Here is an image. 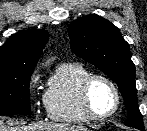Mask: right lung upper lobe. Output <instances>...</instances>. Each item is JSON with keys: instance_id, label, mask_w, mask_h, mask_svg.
I'll list each match as a JSON object with an SVG mask.
<instances>
[{"instance_id": "obj_1", "label": "right lung upper lobe", "mask_w": 147, "mask_h": 131, "mask_svg": "<svg viewBox=\"0 0 147 131\" xmlns=\"http://www.w3.org/2000/svg\"><path fill=\"white\" fill-rule=\"evenodd\" d=\"M49 34L45 30L20 31L0 47V69H33L42 54Z\"/></svg>"}]
</instances>
